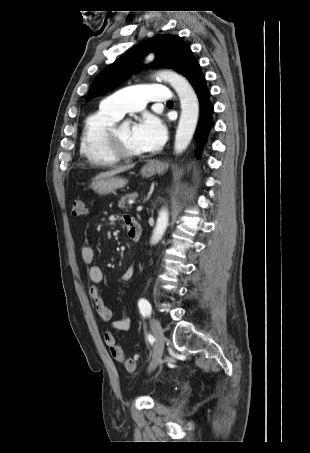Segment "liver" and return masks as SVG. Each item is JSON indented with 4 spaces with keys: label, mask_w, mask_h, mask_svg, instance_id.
<instances>
[{
    "label": "liver",
    "mask_w": 310,
    "mask_h": 453,
    "mask_svg": "<svg viewBox=\"0 0 310 453\" xmlns=\"http://www.w3.org/2000/svg\"><path fill=\"white\" fill-rule=\"evenodd\" d=\"M134 165H127V166H119V167H116L112 170H109V171H106V172H101L100 174H98L94 180H99V179H102V178H107V177H111V176H114L116 174H119V173H122V172H125L131 168H133Z\"/></svg>",
    "instance_id": "obj_1"
}]
</instances>
